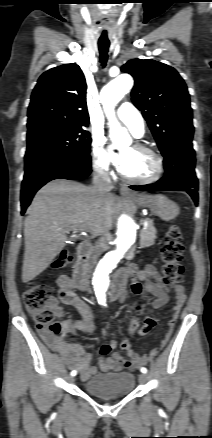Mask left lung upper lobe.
Returning a JSON list of instances; mask_svg holds the SVG:
<instances>
[{"instance_id": "obj_1", "label": "left lung upper lobe", "mask_w": 212, "mask_h": 438, "mask_svg": "<svg viewBox=\"0 0 212 438\" xmlns=\"http://www.w3.org/2000/svg\"><path fill=\"white\" fill-rule=\"evenodd\" d=\"M121 70L135 79L132 102L142 111L162 155L176 145L191 143L192 108L186 84L178 72L151 59L130 60Z\"/></svg>"}]
</instances>
